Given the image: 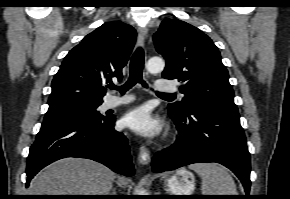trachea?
<instances>
[{
    "label": "trachea",
    "instance_id": "obj_1",
    "mask_svg": "<svg viewBox=\"0 0 290 199\" xmlns=\"http://www.w3.org/2000/svg\"><path fill=\"white\" fill-rule=\"evenodd\" d=\"M143 67H144V51L142 48H137L132 55L130 61V76L128 81L121 87L109 85L110 89H117L121 94L131 89L136 83H141L144 87H147L146 82L143 80ZM158 96H173V94L156 92Z\"/></svg>",
    "mask_w": 290,
    "mask_h": 199
}]
</instances>
